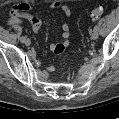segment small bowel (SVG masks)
I'll return each instance as SVG.
<instances>
[{
  "label": "small bowel",
  "instance_id": "c3829d8e",
  "mask_svg": "<svg viewBox=\"0 0 119 119\" xmlns=\"http://www.w3.org/2000/svg\"><path fill=\"white\" fill-rule=\"evenodd\" d=\"M50 9H58L60 10L67 18L71 16V9L66 5L59 1L52 2L49 5ZM32 9V6L28 3H21L18 5H15L11 10V17L9 19V24L15 25V24H21L24 21L28 22L31 26V29L34 33H38L41 30L42 22L39 18L32 16L28 13ZM70 30H71V23L69 21H65L62 24V38L63 41L58 43H53L50 46V49L55 54H61L66 46H68V38L70 36ZM48 70L50 72H54V66L49 65Z\"/></svg>",
  "mask_w": 119,
  "mask_h": 119
}]
</instances>
